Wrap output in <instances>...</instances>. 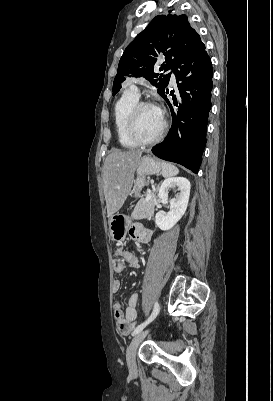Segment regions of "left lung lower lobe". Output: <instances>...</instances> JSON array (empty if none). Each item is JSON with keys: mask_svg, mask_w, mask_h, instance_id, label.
I'll use <instances>...</instances> for the list:
<instances>
[{"mask_svg": "<svg viewBox=\"0 0 273 401\" xmlns=\"http://www.w3.org/2000/svg\"><path fill=\"white\" fill-rule=\"evenodd\" d=\"M178 84V102L162 97L172 113V127L165 140L153 147L159 158L179 163L198 173L206 145L208 115L211 109L213 69L201 39L186 50L172 66Z\"/></svg>", "mask_w": 273, "mask_h": 401, "instance_id": "0a47b994", "label": "left lung lower lobe"}]
</instances>
